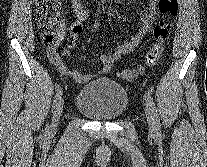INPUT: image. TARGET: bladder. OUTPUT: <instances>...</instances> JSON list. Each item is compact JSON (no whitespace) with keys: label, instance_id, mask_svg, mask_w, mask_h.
Instances as JSON below:
<instances>
[{"label":"bladder","instance_id":"1","mask_svg":"<svg viewBox=\"0 0 207 167\" xmlns=\"http://www.w3.org/2000/svg\"><path fill=\"white\" fill-rule=\"evenodd\" d=\"M129 97L125 88L110 79L84 85L76 98V107L85 116L99 121L120 118L127 110Z\"/></svg>","mask_w":207,"mask_h":167}]
</instances>
